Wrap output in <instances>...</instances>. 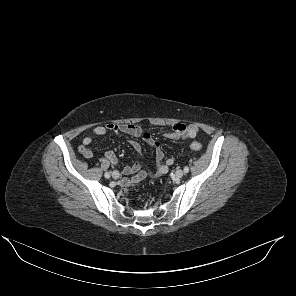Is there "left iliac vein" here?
Wrapping results in <instances>:
<instances>
[{
  "label": "left iliac vein",
  "instance_id": "4c4485c4",
  "mask_svg": "<svg viewBox=\"0 0 296 296\" xmlns=\"http://www.w3.org/2000/svg\"><path fill=\"white\" fill-rule=\"evenodd\" d=\"M183 175H184V172H183V170H181V169H178L176 172H175V177L176 178H182L183 177Z\"/></svg>",
  "mask_w": 296,
  "mask_h": 296
}]
</instances>
